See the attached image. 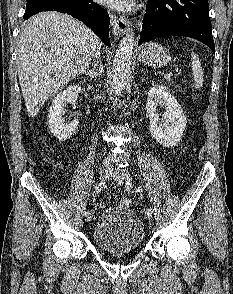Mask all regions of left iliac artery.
Masks as SVG:
<instances>
[{
    "instance_id": "44dca946",
    "label": "left iliac artery",
    "mask_w": 233,
    "mask_h": 294,
    "mask_svg": "<svg viewBox=\"0 0 233 294\" xmlns=\"http://www.w3.org/2000/svg\"><path fill=\"white\" fill-rule=\"evenodd\" d=\"M142 190H143V189H142L140 186L136 188V191H137V192H142ZM128 192H133V191H128ZM146 212L152 214V213H153V208L150 207Z\"/></svg>"
}]
</instances>
